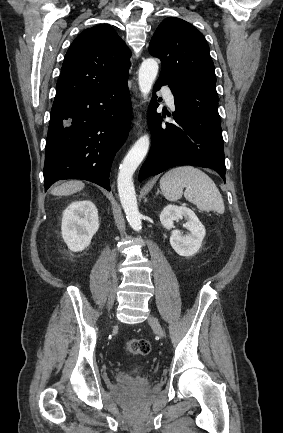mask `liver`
Returning a JSON list of instances; mask_svg holds the SVG:
<instances>
[{"instance_id": "liver-1", "label": "liver", "mask_w": 283, "mask_h": 433, "mask_svg": "<svg viewBox=\"0 0 283 433\" xmlns=\"http://www.w3.org/2000/svg\"><path fill=\"white\" fill-rule=\"evenodd\" d=\"M84 188V182L82 180H69V182H63L60 186H55L52 188L51 194H73V192H78Z\"/></svg>"}]
</instances>
